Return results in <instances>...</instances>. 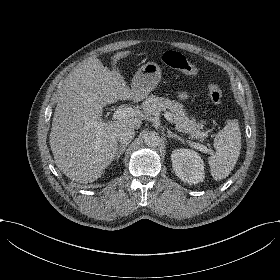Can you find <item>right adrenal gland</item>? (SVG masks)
Wrapping results in <instances>:
<instances>
[{"instance_id": "obj_1", "label": "right adrenal gland", "mask_w": 280, "mask_h": 280, "mask_svg": "<svg viewBox=\"0 0 280 280\" xmlns=\"http://www.w3.org/2000/svg\"><path fill=\"white\" fill-rule=\"evenodd\" d=\"M127 145H119L115 153L114 159L119 160L120 156L124 153Z\"/></svg>"}]
</instances>
